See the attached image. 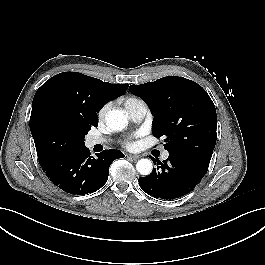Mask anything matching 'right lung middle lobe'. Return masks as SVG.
<instances>
[{"label": "right lung middle lobe", "mask_w": 265, "mask_h": 265, "mask_svg": "<svg viewBox=\"0 0 265 265\" xmlns=\"http://www.w3.org/2000/svg\"><path fill=\"white\" fill-rule=\"evenodd\" d=\"M97 125L69 118L52 107L37 110L30 117V130L38 159L84 147L85 135Z\"/></svg>", "instance_id": "1"}]
</instances>
